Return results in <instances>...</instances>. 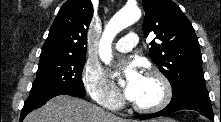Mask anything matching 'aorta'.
<instances>
[{"instance_id":"1","label":"aorta","mask_w":221,"mask_h":122,"mask_svg":"<svg viewBox=\"0 0 221 122\" xmlns=\"http://www.w3.org/2000/svg\"><path fill=\"white\" fill-rule=\"evenodd\" d=\"M140 17L141 10L137 6H125L111 18L105 27L99 44V53L102 61L109 64L111 60V43L113 38L121 30L138 21Z\"/></svg>"}]
</instances>
